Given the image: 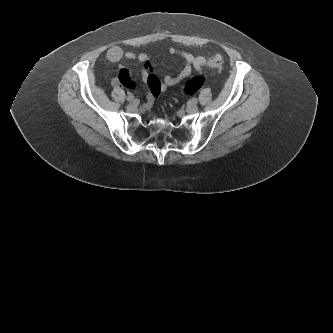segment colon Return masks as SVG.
Wrapping results in <instances>:
<instances>
[{"label": "colon", "instance_id": "1", "mask_svg": "<svg viewBox=\"0 0 333 333\" xmlns=\"http://www.w3.org/2000/svg\"><path fill=\"white\" fill-rule=\"evenodd\" d=\"M208 66L211 69L220 71L223 68V59L219 56L209 59ZM205 78L201 75L188 80L184 85V92L186 94L196 93L204 84Z\"/></svg>", "mask_w": 333, "mask_h": 333}]
</instances>
